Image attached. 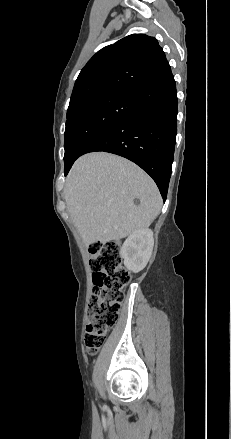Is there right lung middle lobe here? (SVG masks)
Here are the masks:
<instances>
[{
	"mask_svg": "<svg viewBox=\"0 0 231 439\" xmlns=\"http://www.w3.org/2000/svg\"><path fill=\"white\" fill-rule=\"evenodd\" d=\"M137 109L134 93L105 94L69 109L64 143L65 167L79 157L81 148L92 136Z\"/></svg>",
	"mask_w": 231,
	"mask_h": 439,
	"instance_id": "obj_1",
	"label": "right lung middle lobe"
}]
</instances>
